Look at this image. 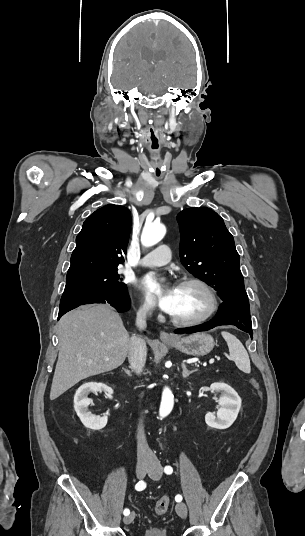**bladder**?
I'll list each match as a JSON object with an SVG mask.
<instances>
[{"mask_svg": "<svg viewBox=\"0 0 305 536\" xmlns=\"http://www.w3.org/2000/svg\"><path fill=\"white\" fill-rule=\"evenodd\" d=\"M136 536H168V535H167L166 528H156L155 530L149 531L142 535H136Z\"/></svg>", "mask_w": 305, "mask_h": 536, "instance_id": "obj_1", "label": "bladder"}]
</instances>
